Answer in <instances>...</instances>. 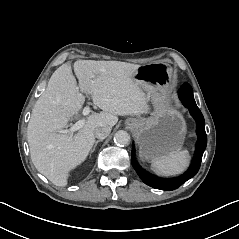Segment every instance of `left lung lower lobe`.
<instances>
[{"label":"left lung lower lobe","mask_w":239,"mask_h":239,"mask_svg":"<svg viewBox=\"0 0 239 239\" xmlns=\"http://www.w3.org/2000/svg\"><path fill=\"white\" fill-rule=\"evenodd\" d=\"M179 98L184 104V106H186L189 109L190 114L196 120V126H197V136H198L197 155H196L195 163L193 167L190 169V171L186 175H184L182 178L175 181H170V182L148 177L147 175H145L138 169L134 161V155L132 150L131 163L134 169L136 170L137 174L139 175V177L142 179V181L145 184L156 189L168 190V191L177 189L184 182H186L187 180L192 178L194 175H196L200 168L202 156L207 145V136H206L205 126H204L205 125L204 117L196 105V102L193 97V90L188 83H184L181 86L179 90Z\"/></svg>","instance_id":"left-lung-lower-lobe-1"}]
</instances>
